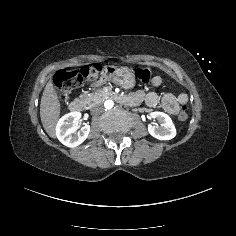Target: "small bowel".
<instances>
[{
	"instance_id": "c3829d8e",
	"label": "small bowel",
	"mask_w": 236,
	"mask_h": 236,
	"mask_svg": "<svg viewBox=\"0 0 236 236\" xmlns=\"http://www.w3.org/2000/svg\"><path fill=\"white\" fill-rule=\"evenodd\" d=\"M162 82V79L160 76H155L152 79L151 86L152 87H158ZM132 96H134L136 99H138V104L142 101H145L146 104L153 108L159 103V97L155 92L152 91H138L134 93ZM188 100V97L186 94L181 93L178 96H174L173 94H166L162 98V105L164 109L170 113V114H177L180 109V105L185 104Z\"/></svg>"
}]
</instances>
